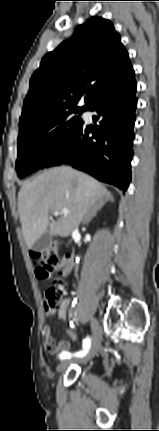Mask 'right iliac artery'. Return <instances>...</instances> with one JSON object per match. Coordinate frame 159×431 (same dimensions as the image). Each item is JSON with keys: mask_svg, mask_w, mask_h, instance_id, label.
<instances>
[{"mask_svg": "<svg viewBox=\"0 0 159 431\" xmlns=\"http://www.w3.org/2000/svg\"><path fill=\"white\" fill-rule=\"evenodd\" d=\"M91 346V340L89 337H86L83 340V350L76 352L75 354H73V356L76 357H83L87 354L89 348ZM72 354L70 352H63L59 355L60 359H69L71 358Z\"/></svg>", "mask_w": 159, "mask_h": 431, "instance_id": "1", "label": "right iliac artery"}]
</instances>
